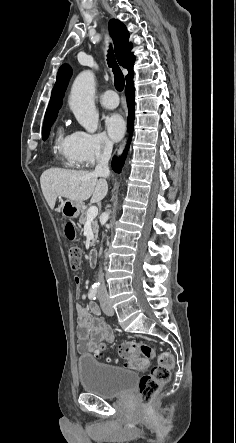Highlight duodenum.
<instances>
[{
    "label": "duodenum",
    "instance_id": "obj_1",
    "mask_svg": "<svg viewBox=\"0 0 236 443\" xmlns=\"http://www.w3.org/2000/svg\"><path fill=\"white\" fill-rule=\"evenodd\" d=\"M89 263L91 265H94L96 263V255H95V253L89 254Z\"/></svg>",
    "mask_w": 236,
    "mask_h": 443
}]
</instances>
